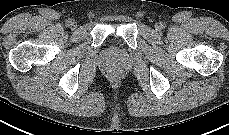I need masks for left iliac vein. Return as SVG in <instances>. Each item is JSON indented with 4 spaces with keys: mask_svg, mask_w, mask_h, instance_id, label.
<instances>
[{
    "mask_svg": "<svg viewBox=\"0 0 229 135\" xmlns=\"http://www.w3.org/2000/svg\"><path fill=\"white\" fill-rule=\"evenodd\" d=\"M161 28H162V27H161V24H156V25H155V29H156L157 31L161 30Z\"/></svg>",
    "mask_w": 229,
    "mask_h": 135,
    "instance_id": "obj_1",
    "label": "left iliac vein"
}]
</instances>
